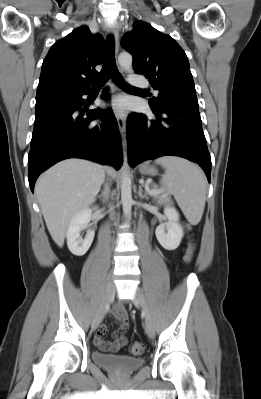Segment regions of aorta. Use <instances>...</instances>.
<instances>
[{"label": "aorta", "instance_id": "aorta-1", "mask_svg": "<svg viewBox=\"0 0 261 399\" xmlns=\"http://www.w3.org/2000/svg\"><path fill=\"white\" fill-rule=\"evenodd\" d=\"M132 55L127 52H122L118 56V62L124 70H129L132 66ZM122 178H121V203L123 206V212L126 218L131 216L132 208V189H131V177L128 170V159L127 154L124 153L123 167H122Z\"/></svg>", "mask_w": 261, "mask_h": 399}]
</instances>
